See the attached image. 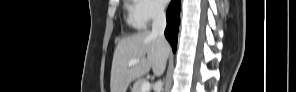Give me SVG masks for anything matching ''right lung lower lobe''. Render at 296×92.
I'll return each mask as SVG.
<instances>
[{
    "instance_id": "right-lung-lower-lobe-1",
    "label": "right lung lower lobe",
    "mask_w": 296,
    "mask_h": 92,
    "mask_svg": "<svg viewBox=\"0 0 296 92\" xmlns=\"http://www.w3.org/2000/svg\"><path fill=\"white\" fill-rule=\"evenodd\" d=\"M179 13H180V0H172L166 13L167 27L165 29V36L167 40L170 42L174 52L176 50V45H177Z\"/></svg>"
}]
</instances>
